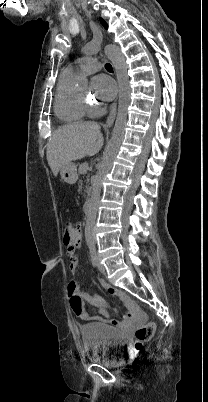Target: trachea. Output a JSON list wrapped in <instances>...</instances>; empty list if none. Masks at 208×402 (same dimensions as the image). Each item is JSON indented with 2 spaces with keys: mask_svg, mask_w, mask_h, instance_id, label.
Returning a JSON list of instances; mask_svg holds the SVG:
<instances>
[{
  "mask_svg": "<svg viewBox=\"0 0 208 402\" xmlns=\"http://www.w3.org/2000/svg\"><path fill=\"white\" fill-rule=\"evenodd\" d=\"M105 68H106V70H108V72H113V68L110 63H106Z\"/></svg>",
  "mask_w": 208,
  "mask_h": 402,
  "instance_id": "1",
  "label": "trachea"
}]
</instances>
